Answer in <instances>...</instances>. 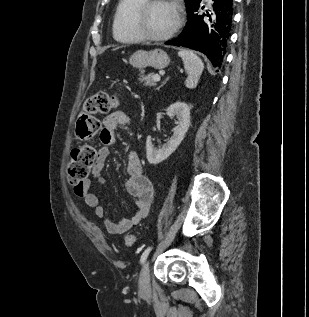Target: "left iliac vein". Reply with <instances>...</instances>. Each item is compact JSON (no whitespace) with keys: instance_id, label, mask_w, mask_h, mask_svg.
<instances>
[{"instance_id":"4c4485c4","label":"left iliac vein","mask_w":309,"mask_h":317,"mask_svg":"<svg viewBox=\"0 0 309 317\" xmlns=\"http://www.w3.org/2000/svg\"><path fill=\"white\" fill-rule=\"evenodd\" d=\"M150 263L147 260L144 263L142 268L140 279H139V286L141 293H148L150 290Z\"/></svg>"}]
</instances>
